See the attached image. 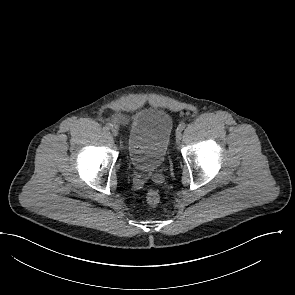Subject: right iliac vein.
<instances>
[{
	"instance_id": "obj_1",
	"label": "right iliac vein",
	"mask_w": 295,
	"mask_h": 295,
	"mask_svg": "<svg viewBox=\"0 0 295 295\" xmlns=\"http://www.w3.org/2000/svg\"><path fill=\"white\" fill-rule=\"evenodd\" d=\"M111 132H112L113 136H117L119 134V129L117 127H113L111 129Z\"/></svg>"
}]
</instances>
